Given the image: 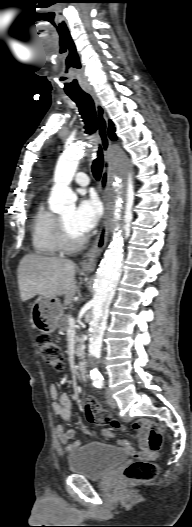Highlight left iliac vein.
Segmentation results:
<instances>
[{
	"label": "left iliac vein",
	"mask_w": 192,
	"mask_h": 527,
	"mask_svg": "<svg viewBox=\"0 0 192 527\" xmlns=\"http://www.w3.org/2000/svg\"><path fill=\"white\" fill-rule=\"evenodd\" d=\"M106 398H107V403L111 408L114 409L117 407V402L115 401V399H113V397L111 396L109 392H106Z\"/></svg>",
	"instance_id": "1"
}]
</instances>
